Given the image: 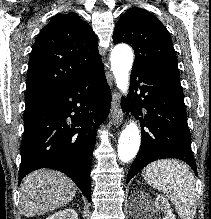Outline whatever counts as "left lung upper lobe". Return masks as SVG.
<instances>
[{"label":"left lung upper lobe","instance_id":"left-lung-upper-lobe-1","mask_svg":"<svg viewBox=\"0 0 211 219\" xmlns=\"http://www.w3.org/2000/svg\"><path fill=\"white\" fill-rule=\"evenodd\" d=\"M113 42H125L135 52L133 67L179 74L177 57L164 25L150 12L130 8L116 23Z\"/></svg>","mask_w":211,"mask_h":219}]
</instances>
